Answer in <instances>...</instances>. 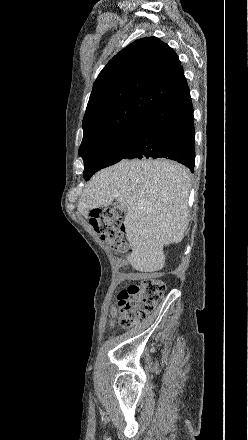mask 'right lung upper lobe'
<instances>
[{"mask_svg":"<svg viewBox=\"0 0 248 440\" xmlns=\"http://www.w3.org/2000/svg\"><path fill=\"white\" fill-rule=\"evenodd\" d=\"M188 92L172 48L154 36L134 41L98 75L83 119L80 148L128 128L144 114Z\"/></svg>","mask_w":248,"mask_h":440,"instance_id":"cb5924a9","label":"right lung upper lobe"}]
</instances>
